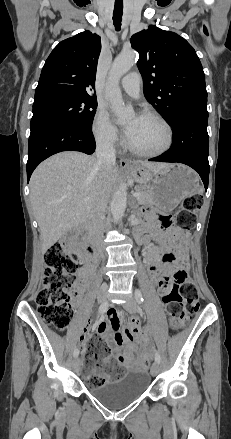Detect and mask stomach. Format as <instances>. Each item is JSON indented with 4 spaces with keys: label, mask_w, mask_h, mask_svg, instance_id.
Listing matches in <instances>:
<instances>
[{
    "label": "stomach",
    "mask_w": 231,
    "mask_h": 439,
    "mask_svg": "<svg viewBox=\"0 0 231 439\" xmlns=\"http://www.w3.org/2000/svg\"><path fill=\"white\" fill-rule=\"evenodd\" d=\"M127 173L147 188L154 198L153 204L163 212L174 210L181 201L200 190L197 173L181 164H169L156 172L134 165Z\"/></svg>",
    "instance_id": "stomach-1"
}]
</instances>
